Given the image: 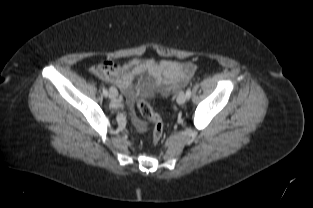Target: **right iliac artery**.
Segmentation results:
<instances>
[{
    "mask_svg": "<svg viewBox=\"0 0 313 208\" xmlns=\"http://www.w3.org/2000/svg\"><path fill=\"white\" fill-rule=\"evenodd\" d=\"M103 94H104V96H108V91H107V89H103Z\"/></svg>",
    "mask_w": 313,
    "mask_h": 208,
    "instance_id": "right-iliac-artery-1",
    "label": "right iliac artery"
}]
</instances>
